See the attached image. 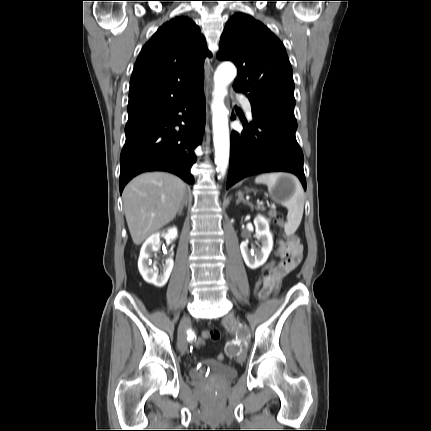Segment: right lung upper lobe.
Here are the masks:
<instances>
[{
	"label": "right lung upper lobe",
	"mask_w": 431,
	"mask_h": 431,
	"mask_svg": "<svg viewBox=\"0 0 431 431\" xmlns=\"http://www.w3.org/2000/svg\"><path fill=\"white\" fill-rule=\"evenodd\" d=\"M205 46L189 18L176 17L163 24L134 65L128 119L175 106L203 86Z\"/></svg>",
	"instance_id": "obj_1"
}]
</instances>
